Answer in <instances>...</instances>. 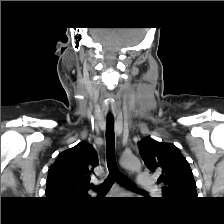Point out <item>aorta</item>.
I'll return each mask as SVG.
<instances>
[{
    "instance_id": "obj_1",
    "label": "aorta",
    "mask_w": 224,
    "mask_h": 224,
    "mask_svg": "<svg viewBox=\"0 0 224 224\" xmlns=\"http://www.w3.org/2000/svg\"><path fill=\"white\" fill-rule=\"evenodd\" d=\"M121 164L123 167L133 171H139L141 169V162L140 160L132 155L123 156L121 159Z\"/></svg>"
}]
</instances>
